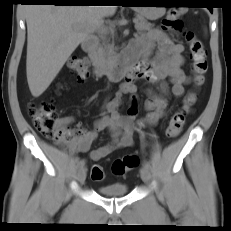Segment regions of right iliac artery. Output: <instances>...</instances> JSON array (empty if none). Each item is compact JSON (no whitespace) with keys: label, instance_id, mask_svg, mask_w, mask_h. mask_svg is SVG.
<instances>
[{"label":"right iliac artery","instance_id":"1","mask_svg":"<svg viewBox=\"0 0 231 231\" xmlns=\"http://www.w3.org/2000/svg\"><path fill=\"white\" fill-rule=\"evenodd\" d=\"M85 165V160L79 162V167L82 168Z\"/></svg>","mask_w":231,"mask_h":231}]
</instances>
